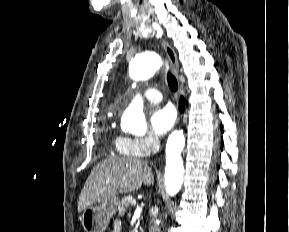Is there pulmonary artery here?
Instances as JSON below:
<instances>
[{"instance_id": "e3ab8cb5", "label": "pulmonary artery", "mask_w": 289, "mask_h": 232, "mask_svg": "<svg viewBox=\"0 0 289 232\" xmlns=\"http://www.w3.org/2000/svg\"><path fill=\"white\" fill-rule=\"evenodd\" d=\"M144 98L150 102H160L162 100V94L153 88H149L144 92Z\"/></svg>"}]
</instances>
